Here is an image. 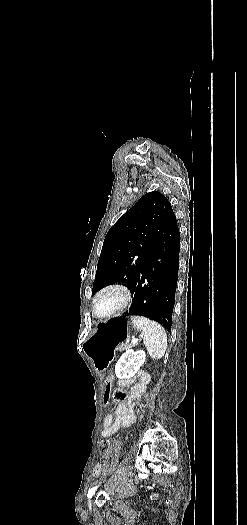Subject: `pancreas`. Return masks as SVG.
Listing matches in <instances>:
<instances>
[{
	"label": "pancreas",
	"mask_w": 247,
	"mask_h": 525,
	"mask_svg": "<svg viewBox=\"0 0 247 525\" xmlns=\"http://www.w3.org/2000/svg\"><path fill=\"white\" fill-rule=\"evenodd\" d=\"M131 347H134V345H129V343H126V345H121L120 347L116 348V351L123 353L126 352V349H131Z\"/></svg>",
	"instance_id": "cf45deb5"
}]
</instances>
